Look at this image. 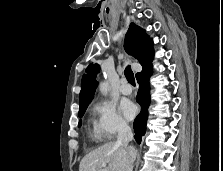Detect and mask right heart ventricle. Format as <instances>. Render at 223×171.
Listing matches in <instances>:
<instances>
[{"instance_id": "e07e8e85", "label": "right heart ventricle", "mask_w": 223, "mask_h": 171, "mask_svg": "<svg viewBox=\"0 0 223 171\" xmlns=\"http://www.w3.org/2000/svg\"><path fill=\"white\" fill-rule=\"evenodd\" d=\"M94 136H97L95 132H94Z\"/></svg>"}]
</instances>
